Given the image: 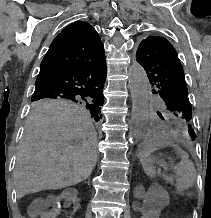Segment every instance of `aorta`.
<instances>
[{
	"instance_id": "aorta-1",
	"label": "aorta",
	"mask_w": 211,
	"mask_h": 218,
	"mask_svg": "<svg viewBox=\"0 0 211 218\" xmlns=\"http://www.w3.org/2000/svg\"><path fill=\"white\" fill-rule=\"evenodd\" d=\"M129 88L132 98V117L129 141L137 143L144 136L149 121V81L144 69L134 64L129 70Z\"/></svg>"
}]
</instances>
